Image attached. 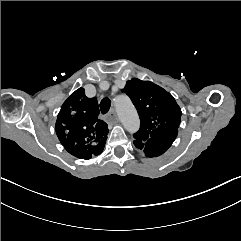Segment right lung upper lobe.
I'll list each match as a JSON object with an SVG mask.
<instances>
[{"mask_svg": "<svg viewBox=\"0 0 241 241\" xmlns=\"http://www.w3.org/2000/svg\"><path fill=\"white\" fill-rule=\"evenodd\" d=\"M98 115L97 99L86 97L83 88L77 89L63 103L55 129L61 144L71 155L88 160L102 153L108 126Z\"/></svg>", "mask_w": 241, "mask_h": 241, "instance_id": "obj_1", "label": "right lung upper lobe"}]
</instances>
